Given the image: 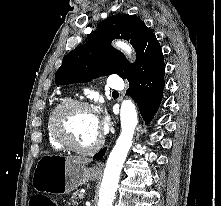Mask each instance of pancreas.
<instances>
[{"instance_id": "1", "label": "pancreas", "mask_w": 221, "mask_h": 206, "mask_svg": "<svg viewBox=\"0 0 221 206\" xmlns=\"http://www.w3.org/2000/svg\"><path fill=\"white\" fill-rule=\"evenodd\" d=\"M79 195H81V193L79 191H76L73 193L71 199H70V205H76L78 204L77 199L79 197Z\"/></svg>"}]
</instances>
